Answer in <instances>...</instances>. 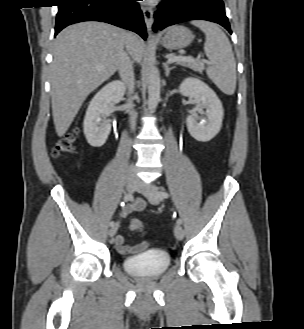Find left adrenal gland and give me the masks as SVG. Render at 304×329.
<instances>
[{
    "mask_svg": "<svg viewBox=\"0 0 304 329\" xmlns=\"http://www.w3.org/2000/svg\"><path fill=\"white\" fill-rule=\"evenodd\" d=\"M163 67L165 69L166 77H168L170 74V71L175 68V67H169L168 63H163Z\"/></svg>",
    "mask_w": 304,
    "mask_h": 329,
    "instance_id": "1",
    "label": "left adrenal gland"
}]
</instances>
